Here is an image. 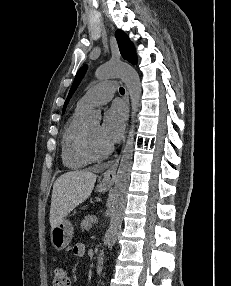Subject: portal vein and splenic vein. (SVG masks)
<instances>
[{
  "label": "portal vein and splenic vein",
  "mask_w": 231,
  "mask_h": 286,
  "mask_svg": "<svg viewBox=\"0 0 231 286\" xmlns=\"http://www.w3.org/2000/svg\"><path fill=\"white\" fill-rule=\"evenodd\" d=\"M97 222H98V218L97 217H93L92 223L96 224Z\"/></svg>",
  "instance_id": "18ae733b"
}]
</instances>
